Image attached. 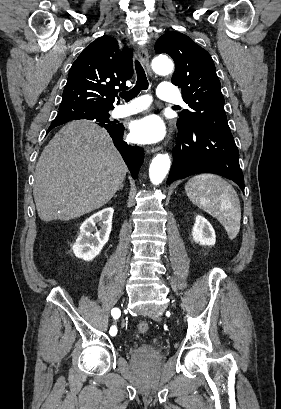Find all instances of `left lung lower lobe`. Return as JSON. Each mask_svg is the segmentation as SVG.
<instances>
[{"label":"left lung lower lobe","instance_id":"obj_1","mask_svg":"<svg viewBox=\"0 0 281 409\" xmlns=\"http://www.w3.org/2000/svg\"><path fill=\"white\" fill-rule=\"evenodd\" d=\"M172 153L167 184L197 173H214L233 180L244 192L239 152L231 132L193 124L179 129Z\"/></svg>","mask_w":281,"mask_h":409}]
</instances>
